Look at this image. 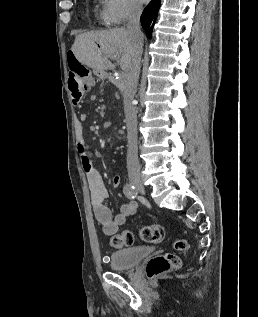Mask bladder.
<instances>
[{
    "instance_id": "31cf9c89",
    "label": "bladder",
    "mask_w": 258,
    "mask_h": 317,
    "mask_svg": "<svg viewBox=\"0 0 258 317\" xmlns=\"http://www.w3.org/2000/svg\"><path fill=\"white\" fill-rule=\"evenodd\" d=\"M153 251V246H133L117 250L110 255V265L115 270L131 269L151 255Z\"/></svg>"
}]
</instances>
